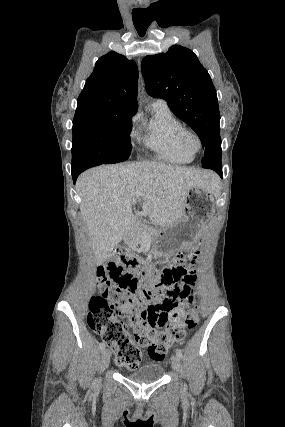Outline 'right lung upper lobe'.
I'll return each mask as SVG.
<instances>
[{
    "mask_svg": "<svg viewBox=\"0 0 285 427\" xmlns=\"http://www.w3.org/2000/svg\"><path fill=\"white\" fill-rule=\"evenodd\" d=\"M138 67L116 52L100 57L77 100L73 122L132 117L137 104Z\"/></svg>",
    "mask_w": 285,
    "mask_h": 427,
    "instance_id": "right-lung-upper-lobe-1",
    "label": "right lung upper lobe"
}]
</instances>
